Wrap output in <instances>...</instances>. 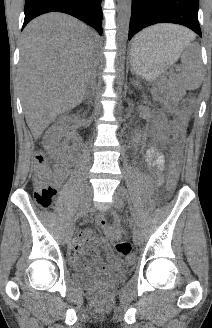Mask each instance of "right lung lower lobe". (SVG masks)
<instances>
[{
    "label": "right lung lower lobe",
    "mask_w": 212,
    "mask_h": 328,
    "mask_svg": "<svg viewBox=\"0 0 212 328\" xmlns=\"http://www.w3.org/2000/svg\"><path fill=\"white\" fill-rule=\"evenodd\" d=\"M102 0H26L25 18L22 29L33 18L48 12L70 14L94 27L102 34Z\"/></svg>",
    "instance_id": "obj_1"
}]
</instances>
